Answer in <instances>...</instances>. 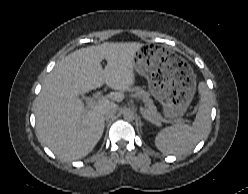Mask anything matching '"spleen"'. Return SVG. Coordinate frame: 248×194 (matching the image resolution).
Listing matches in <instances>:
<instances>
[{"instance_id": "3e777b00", "label": "spleen", "mask_w": 248, "mask_h": 194, "mask_svg": "<svg viewBox=\"0 0 248 194\" xmlns=\"http://www.w3.org/2000/svg\"><path fill=\"white\" fill-rule=\"evenodd\" d=\"M198 90L200 103L193 124L178 123L161 130L156 135L155 146L163 154H185L209 134L211 129L212 95L204 82L199 83Z\"/></svg>"}]
</instances>
